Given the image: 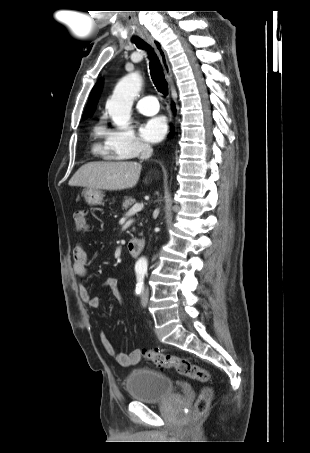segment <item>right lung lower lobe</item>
<instances>
[{"label": "right lung lower lobe", "mask_w": 310, "mask_h": 453, "mask_svg": "<svg viewBox=\"0 0 310 453\" xmlns=\"http://www.w3.org/2000/svg\"><path fill=\"white\" fill-rule=\"evenodd\" d=\"M173 110H175V109H174V104H173ZM171 132H172V131H171Z\"/></svg>", "instance_id": "98d812e1"}]
</instances>
